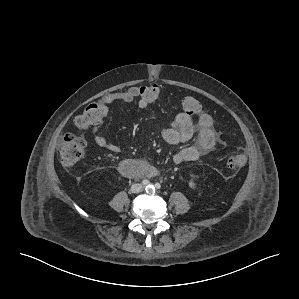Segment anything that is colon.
Here are the masks:
<instances>
[{
	"instance_id": "5ec220e1",
	"label": "colon",
	"mask_w": 299,
	"mask_h": 299,
	"mask_svg": "<svg viewBox=\"0 0 299 299\" xmlns=\"http://www.w3.org/2000/svg\"><path fill=\"white\" fill-rule=\"evenodd\" d=\"M140 96H142L149 105L154 104L160 96V89L157 85H147L138 88ZM183 113L191 116L201 111L200 103L193 97H185L181 102ZM102 118V107L99 102L89 104L84 111L78 115L74 122L80 129H87L100 122ZM87 144L84 138L66 134L59 143V154L61 162L70 166L81 160L86 153ZM247 158L245 152L240 149L233 152L228 160L227 165L231 169H239L246 164Z\"/></svg>"
}]
</instances>
